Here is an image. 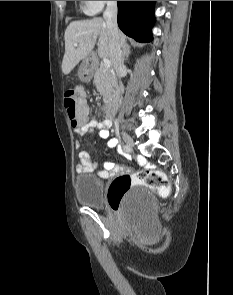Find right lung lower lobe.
<instances>
[{
  "label": "right lung lower lobe",
  "instance_id": "98d812e1",
  "mask_svg": "<svg viewBox=\"0 0 233 295\" xmlns=\"http://www.w3.org/2000/svg\"><path fill=\"white\" fill-rule=\"evenodd\" d=\"M117 4L119 28L136 41H152L154 1H117Z\"/></svg>",
  "mask_w": 233,
  "mask_h": 295
}]
</instances>
